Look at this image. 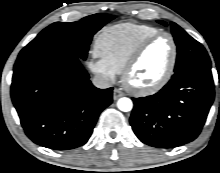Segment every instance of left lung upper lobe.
<instances>
[{
  "label": "left lung upper lobe",
  "mask_w": 220,
  "mask_h": 173,
  "mask_svg": "<svg viewBox=\"0 0 220 173\" xmlns=\"http://www.w3.org/2000/svg\"><path fill=\"white\" fill-rule=\"evenodd\" d=\"M159 23L166 25L163 21H159ZM171 30L177 45L175 73L195 66L211 64L206 50L198 41L173 22L171 23Z\"/></svg>",
  "instance_id": "left-lung-upper-lobe-1"
}]
</instances>
